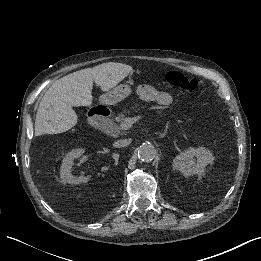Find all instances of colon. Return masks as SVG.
Returning <instances> with one entry per match:
<instances>
[{"instance_id":"1","label":"colon","mask_w":261,"mask_h":261,"mask_svg":"<svg viewBox=\"0 0 261 261\" xmlns=\"http://www.w3.org/2000/svg\"><path fill=\"white\" fill-rule=\"evenodd\" d=\"M166 82L188 91L198 90L200 88L198 81L189 79L183 74L177 72L167 73Z\"/></svg>"}]
</instances>
